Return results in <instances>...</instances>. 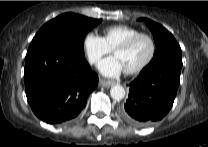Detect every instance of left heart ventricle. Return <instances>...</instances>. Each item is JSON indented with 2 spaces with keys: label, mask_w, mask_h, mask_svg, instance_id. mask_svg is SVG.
Returning a JSON list of instances; mask_svg holds the SVG:
<instances>
[{
  "label": "left heart ventricle",
  "mask_w": 208,
  "mask_h": 147,
  "mask_svg": "<svg viewBox=\"0 0 208 147\" xmlns=\"http://www.w3.org/2000/svg\"><path fill=\"white\" fill-rule=\"evenodd\" d=\"M150 51V42L146 38H141L129 49L118 50L114 54L120 59L124 69L128 70L137 67L145 61Z\"/></svg>",
  "instance_id": "b2bd125f"
}]
</instances>
